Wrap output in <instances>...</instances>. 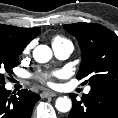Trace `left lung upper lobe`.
<instances>
[{
  "instance_id": "obj_1",
  "label": "left lung upper lobe",
  "mask_w": 118,
  "mask_h": 118,
  "mask_svg": "<svg viewBox=\"0 0 118 118\" xmlns=\"http://www.w3.org/2000/svg\"><path fill=\"white\" fill-rule=\"evenodd\" d=\"M64 29L77 38L82 51L76 77L87 79L91 89L118 91V36L94 23L66 24Z\"/></svg>"
}]
</instances>
